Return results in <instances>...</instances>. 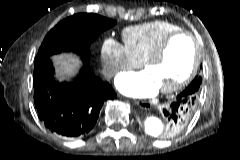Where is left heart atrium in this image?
Wrapping results in <instances>:
<instances>
[{
  "mask_svg": "<svg viewBox=\"0 0 240 160\" xmlns=\"http://www.w3.org/2000/svg\"><path fill=\"white\" fill-rule=\"evenodd\" d=\"M115 84L123 94L138 98L153 96L159 89L147 71L120 74Z\"/></svg>",
  "mask_w": 240,
  "mask_h": 160,
  "instance_id": "1",
  "label": "left heart atrium"
}]
</instances>
